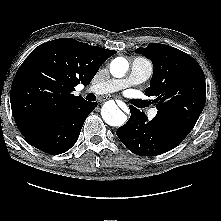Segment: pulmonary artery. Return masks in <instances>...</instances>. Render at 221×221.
Masks as SVG:
<instances>
[{"label": "pulmonary artery", "instance_id": "pulmonary-artery-1", "mask_svg": "<svg viewBox=\"0 0 221 221\" xmlns=\"http://www.w3.org/2000/svg\"><path fill=\"white\" fill-rule=\"evenodd\" d=\"M153 72L151 62L143 57H136L132 64L131 70L127 77L121 79H110L103 83L93 85L89 91L96 94L112 93L132 85L140 84L148 80ZM157 110L153 109L150 113L151 117L156 116Z\"/></svg>", "mask_w": 221, "mask_h": 221}]
</instances>
